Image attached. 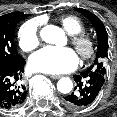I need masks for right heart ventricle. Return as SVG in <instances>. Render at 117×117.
Wrapping results in <instances>:
<instances>
[{
    "label": "right heart ventricle",
    "instance_id": "e07e8e85",
    "mask_svg": "<svg viewBox=\"0 0 117 117\" xmlns=\"http://www.w3.org/2000/svg\"><path fill=\"white\" fill-rule=\"evenodd\" d=\"M59 22L70 35L80 34L85 29L83 22L73 15L61 17Z\"/></svg>",
    "mask_w": 117,
    "mask_h": 117
}]
</instances>
